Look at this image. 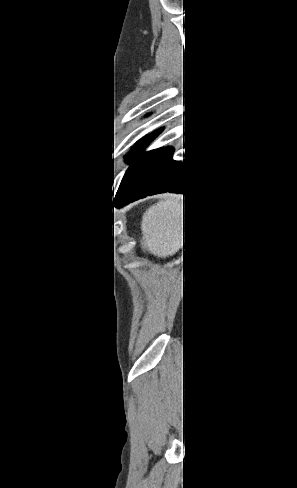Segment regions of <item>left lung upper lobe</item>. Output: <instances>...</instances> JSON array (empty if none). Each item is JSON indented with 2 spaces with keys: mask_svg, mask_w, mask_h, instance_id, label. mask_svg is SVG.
Returning <instances> with one entry per match:
<instances>
[{
  "mask_svg": "<svg viewBox=\"0 0 297 488\" xmlns=\"http://www.w3.org/2000/svg\"><path fill=\"white\" fill-rule=\"evenodd\" d=\"M161 129L155 131L153 134L145 137L143 140L138 142V146L135 147L134 151H132L129 155L125 156L126 162H129L131 165L129 169L126 171L120 187L118 189L116 197L123 194L133 183V181L139 176V174L143 171V169L147 166V164L162 150V148L155 149L139 155L138 152L145 147L149 141L155 138Z\"/></svg>",
  "mask_w": 297,
  "mask_h": 488,
  "instance_id": "5c2ea615",
  "label": "left lung upper lobe"
}]
</instances>
